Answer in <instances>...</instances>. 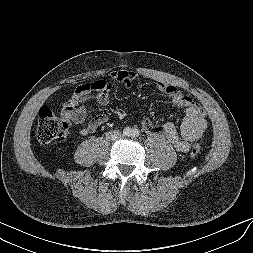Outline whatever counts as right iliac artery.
Listing matches in <instances>:
<instances>
[{
	"label": "right iliac artery",
	"mask_w": 253,
	"mask_h": 253,
	"mask_svg": "<svg viewBox=\"0 0 253 253\" xmlns=\"http://www.w3.org/2000/svg\"><path fill=\"white\" fill-rule=\"evenodd\" d=\"M123 134L125 136H130L131 135V129L129 127H126L124 130H123Z\"/></svg>",
	"instance_id": "82829eb1"
}]
</instances>
